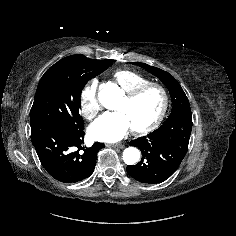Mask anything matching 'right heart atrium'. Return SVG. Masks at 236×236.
<instances>
[{"instance_id": "d8ad5b80", "label": "right heart atrium", "mask_w": 236, "mask_h": 236, "mask_svg": "<svg viewBox=\"0 0 236 236\" xmlns=\"http://www.w3.org/2000/svg\"><path fill=\"white\" fill-rule=\"evenodd\" d=\"M98 81H89L80 94V111L87 120L94 119L101 110V105L97 97Z\"/></svg>"}]
</instances>
